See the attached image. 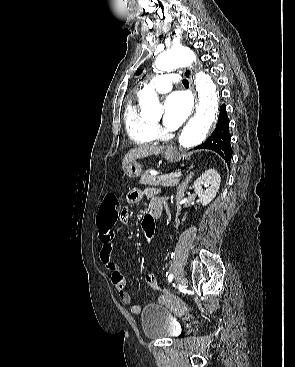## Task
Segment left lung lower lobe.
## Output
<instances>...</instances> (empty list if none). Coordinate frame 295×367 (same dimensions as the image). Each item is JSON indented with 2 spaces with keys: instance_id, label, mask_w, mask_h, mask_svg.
Wrapping results in <instances>:
<instances>
[{
  "instance_id": "0a47b994",
  "label": "left lung lower lobe",
  "mask_w": 295,
  "mask_h": 367,
  "mask_svg": "<svg viewBox=\"0 0 295 367\" xmlns=\"http://www.w3.org/2000/svg\"><path fill=\"white\" fill-rule=\"evenodd\" d=\"M229 120L226 113V106L220 107L218 123L216 129L206 139L204 143L195 149H209L217 152L230 165L232 149L230 146V135L228 131Z\"/></svg>"
}]
</instances>
